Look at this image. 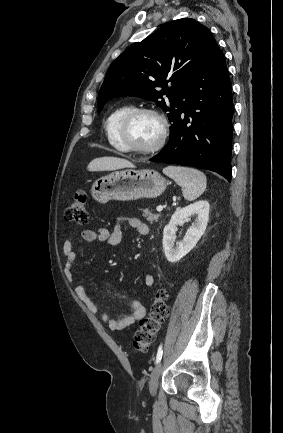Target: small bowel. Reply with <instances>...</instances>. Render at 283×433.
<instances>
[{
  "label": "small bowel",
  "mask_w": 283,
  "mask_h": 433,
  "mask_svg": "<svg viewBox=\"0 0 283 433\" xmlns=\"http://www.w3.org/2000/svg\"><path fill=\"white\" fill-rule=\"evenodd\" d=\"M122 223H125L130 228L135 229L141 235H147L149 233L148 225L143 223L140 219L136 217L121 216L117 219V223L111 231L105 227H98L97 229H83L80 232V237L86 242H106L111 246H117L121 243L123 238ZM62 253L64 256L63 272L68 282L73 285L75 294L91 313L99 314V307L87 295L84 286L76 282L73 271V264L76 259V254L73 251V243L70 238L64 241ZM143 282L147 287H151L154 284L153 274H145ZM129 308L131 313L118 319L111 317L105 312H101L100 317L110 331H126L130 329V327L136 321L142 320L146 315V309L139 300H130Z\"/></svg>",
  "instance_id": "obj_1"
}]
</instances>
